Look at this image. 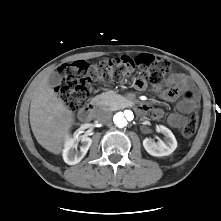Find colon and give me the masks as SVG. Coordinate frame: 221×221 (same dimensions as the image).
I'll list each match as a JSON object with an SVG mask.
<instances>
[{
  "label": "colon",
  "mask_w": 221,
  "mask_h": 221,
  "mask_svg": "<svg viewBox=\"0 0 221 221\" xmlns=\"http://www.w3.org/2000/svg\"><path fill=\"white\" fill-rule=\"evenodd\" d=\"M135 68L140 69L144 74L145 81H141L139 87H143L145 83L155 87L160 86L173 74V67L169 61L149 54H142L136 59L111 58L94 63L79 60L65 64L61 68L62 79L58 87V96L72 111L86 109L93 82L118 80L130 74ZM184 96L193 102V108L183 126L182 135L184 138H191L198 125V104L193 91H186Z\"/></svg>",
  "instance_id": "colon-1"
}]
</instances>
